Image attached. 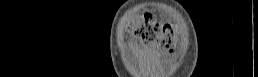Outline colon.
I'll return each mask as SVG.
<instances>
[{
  "label": "colon",
  "instance_id": "1",
  "mask_svg": "<svg viewBox=\"0 0 258 77\" xmlns=\"http://www.w3.org/2000/svg\"><path fill=\"white\" fill-rule=\"evenodd\" d=\"M134 31L143 43L168 51L176 29L171 24L158 22L152 14H144L134 25Z\"/></svg>",
  "mask_w": 258,
  "mask_h": 77
}]
</instances>
